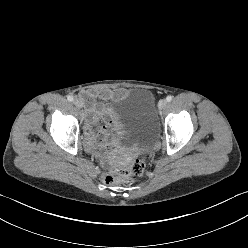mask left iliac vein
I'll return each mask as SVG.
<instances>
[{
    "label": "left iliac vein",
    "instance_id": "left-iliac-vein-1",
    "mask_svg": "<svg viewBox=\"0 0 248 248\" xmlns=\"http://www.w3.org/2000/svg\"><path fill=\"white\" fill-rule=\"evenodd\" d=\"M166 106H167V100H166V99H161V100L158 102V108H159L160 110L164 109Z\"/></svg>",
    "mask_w": 248,
    "mask_h": 248
}]
</instances>
